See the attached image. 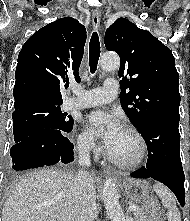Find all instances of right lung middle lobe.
I'll list each match as a JSON object with an SVG mask.
<instances>
[{
	"mask_svg": "<svg viewBox=\"0 0 190 221\" xmlns=\"http://www.w3.org/2000/svg\"><path fill=\"white\" fill-rule=\"evenodd\" d=\"M61 104L62 103L36 105L22 112L13 114L15 143L23 141L41 129L53 128L64 130L73 126L74 121L72 117L61 113Z\"/></svg>",
	"mask_w": 190,
	"mask_h": 221,
	"instance_id": "obj_1",
	"label": "right lung middle lobe"
}]
</instances>
